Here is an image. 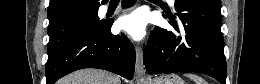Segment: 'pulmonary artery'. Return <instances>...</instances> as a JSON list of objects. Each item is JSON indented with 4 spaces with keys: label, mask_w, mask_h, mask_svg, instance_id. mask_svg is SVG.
Listing matches in <instances>:
<instances>
[{
    "label": "pulmonary artery",
    "mask_w": 260,
    "mask_h": 84,
    "mask_svg": "<svg viewBox=\"0 0 260 84\" xmlns=\"http://www.w3.org/2000/svg\"><path fill=\"white\" fill-rule=\"evenodd\" d=\"M168 2H169V4H170L171 6H174V4H175V0H168ZM107 9H108V6L102 7V11H103V12H105Z\"/></svg>",
    "instance_id": "1"
}]
</instances>
